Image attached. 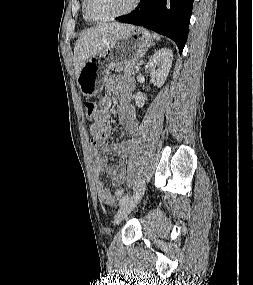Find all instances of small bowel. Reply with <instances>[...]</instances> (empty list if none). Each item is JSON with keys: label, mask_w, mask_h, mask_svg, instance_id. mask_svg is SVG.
I'll return each mask as SVG.
<instances>
[{"label": "small bowel", "mask_w": 253, "mask_h": 285, "mask_svg": "<svg viewBox=\"0 0 253 285\" xmlns=\"http://www.w3.org/2000/svg\"><path fill=\"white\" fill-rule=\"evenodd\" d=\"M134 86L135 82L132 78L121 75H113L106 82V89L109 92H115L120 101L116 113L121 125L131 136H134L139 130L136 110L131 103ZM110 109V98H102L98 107L96 106L95 117L91 119L93 123L90 126V133L92 135L91 146L94 150L96 191L102 202L107 205H114L123 195H119L117 189L126 181L129 168L125 159L133 150V142L131 139H126L118 144L106 145L112 129L109 123ZM110 152L116 153L120 159L118 165L109 164L107 154ZM101 173L108 174L112 183L118 187L114 193L104 185L100 178Z\"/></svg>", "instance_id": "c3829d8e"}]
</instances>
